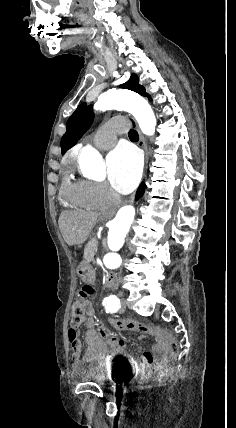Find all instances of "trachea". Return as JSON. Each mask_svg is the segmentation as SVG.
I'll return each instance as SVG.
<instances>
[{
  "mask_svg": "<svg viewBox=\"0 0 236 428\" xmlns=\"http://www.w3.org/2000/svg\"><path fill=\"white\" fill-rule=\"evenodd\" d=\"M128 136L131 140H138L139 139L138 133L135 130H130L128 133Z\"/></svg>",
  "mask_w": 236,
  "mask_h": 428,
  "instance_id": "obj_1",
  "label": "trachea"
}]
</instances>
